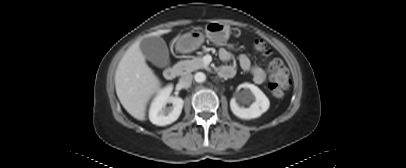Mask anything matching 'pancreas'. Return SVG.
<instances>
[{"mask_svg":"<svg viewBox=\"0 0 406 168\" xmlns=\"http://www.w3.org/2000/svg\"><path fill=\"white\" fill-rule=\"evenodd\" d=\"M177 66L180 68L182 73H188V72H192L197 69L204 68L205 64H204L202 58L198 57V58H194L192 60L181 61L177 64Z\"/></svg>","mask_w":406,"mask_h":168,"instance_id":"obj_1","label":"pancreas"}]
</instances>
